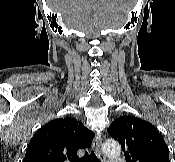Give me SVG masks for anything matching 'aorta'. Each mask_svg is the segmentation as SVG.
I'll list each match as a JSON object with an SVG mask.
<instances>
[{
  "instance_id": "obj_1",
  "label": "aorta",
  "mask_w": 175,
  "mask_h": 162,
  "mask_svg": "<svg viewBox=\"0 0 175 162\" xmlns=\"http://www.w3.org/2000/svg\"><path fill=\"white\" fill-rule=\"evenodd\" d=\"M102 150L104 154L109 158H116L121 153V147L115 140H106L103 143Z\"/></svg>"
}]
</instances>
